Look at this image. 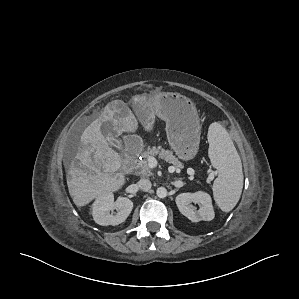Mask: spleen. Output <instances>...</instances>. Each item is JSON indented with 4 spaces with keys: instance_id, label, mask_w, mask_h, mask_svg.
Wrapping results in <instances>:
<instances>
[{
    "instance_id": "obj_1",
    "label": "spleen",
    "mask_w": 299,
    "mask_h": 299,
    "mask_svg": "<svg viewBox=\"0 0 299 299\" xmlns=\"http://www.w3.org/2000/svg\"><path fill=\"white\" fill-rule=\"evenodd\" d=\"M207 138L208 154L218 173L212 187L214 199L222 211L229 212L242 193L241 159L228 132L218 122L210 124Z\"/></svg>"
}]
</instances>
